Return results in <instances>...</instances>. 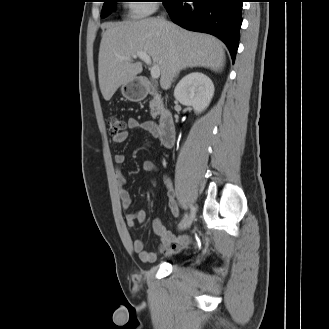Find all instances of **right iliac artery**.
<instances>
[{
    "label": "right iliac artery",
    "mask_w": 329,
    "mask_h": 329,
    "mask_svg": "<svg viewBox=\"0 0 329 329\" xmlns=\"http://www.w3.org/2000/svg\"><path fill=\"white\" fill-rule=\"evenodd\" d=\"M190 215L193 217L195 216V208L192 205L190 206Z\"/></svg>",
    "instance_id": "1"
}]
</instances>
